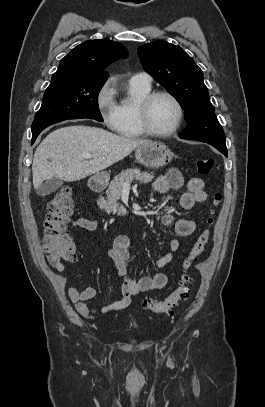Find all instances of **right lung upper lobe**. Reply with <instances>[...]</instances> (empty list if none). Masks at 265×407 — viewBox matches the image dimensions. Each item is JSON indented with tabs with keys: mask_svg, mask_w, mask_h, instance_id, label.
<instances>
[{
	"mask_svg": "<svg viewBox=\"0 0 265 407\" xmlns=\"http://www.w3.org/2000/svg\"><path fill=\"white\" fill-rule=\"evenodd\" d=\"M127 57V49L118 42L108 39L88 40L61 59L53 76L68 75L75 79L106 82L108 74L104 69L114 61Z\"/></svg>",
	"mask_w": 265,
	"mask_h": 407,
	"instance_id": "right-lung-upper-lobe-1",
	"label": "right lung upper lobe"
}]
</instances>
